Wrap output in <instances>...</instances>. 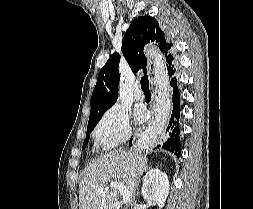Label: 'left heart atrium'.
<instances>
[{
	"mask_svg": "<svg viewBox=\"0 0 253 209\" xmlns=\"http://www.w3.org/2000/svg\"><path fill=\"white\" fill-rule=\"evenodd\" d=\"M145 116V112L143 109H138L135 113L136 121H142Z\"/></svg>",
	"mask_w": 253,
	"mask_h": 209,
	"instance_id": "left-heart-atrium-1",
	"label": "left heart atrium"
}]
</instances>
